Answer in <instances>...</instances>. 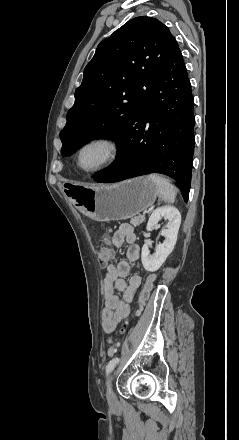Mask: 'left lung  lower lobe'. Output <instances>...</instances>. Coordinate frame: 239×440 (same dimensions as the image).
I'll return each instance as SVG.
<instances>
[{
    "mask_svg": "<svg viewBox=\"0 0 239 440\" xmlns=\"http://www.w3.org/2000/svg\"><path fill=\"white\" fill-rule=\"evenodd\" d=\"M193 106L191 84L177 44L116 138L119 151L115 162L95 180L111 183L161 173L181 185L187 201L195 144Z\"/></svg>",
    "mask_w": 239,
    "mask_h": 440,
    "instance_id": "left-lung-lower-lobe-1",
    "label": "left lung lower lobe"
}]
</instances>
